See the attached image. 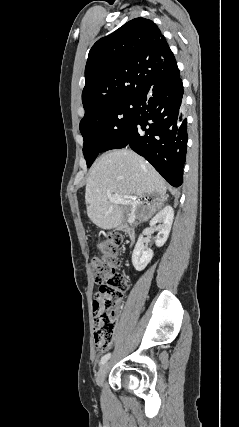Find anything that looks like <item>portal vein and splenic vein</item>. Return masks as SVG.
Returning a JSON list of instances; mask_svg holds the SVG:
<instances>
[{
  "label": "portal vein and splenic vein",
  "instance_id": "1",
  "mask_svg": "<svg viewBox=\"0 0 239 427\" xmlns=\"http://www.w3.org/2000/svg\"><path fill=\"white\" fill-rule=\"evenodd\" d=\"M108 198H109L110 202L118 203V204H126L129 202V201H127V199H133L132 197H127V196L122 197L119 195H111V194L108 195Z\"/></svg>",
  "mask_w": 239,
  "mask_h": 427
}]
</instances>
